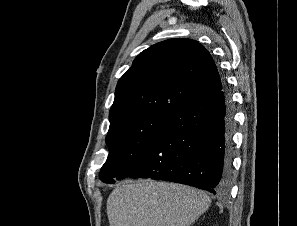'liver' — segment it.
Segmentation results:
<instances>
[{"instance_id": "obj_1", "label": "liver", "mask_w": 297, "mask_h": 226, "mask_svg": "<svg viewBox=\"0 0 297 226\" xmlns=\"http://www.w3.org/2000/svg\"><path fill=\"white\" fill-rule=\"evenodd\" d=\"M210 203L201 190L141 179L127 181L111 192L107 216L110 226H190Z\"/></svg>"}]
</instances>
